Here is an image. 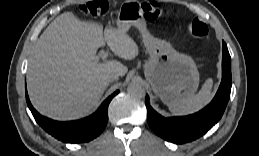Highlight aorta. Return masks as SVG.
<instances>
[{
  "label": "aorta",
  "instance_id": "1",
  "mask_svg": "<svg viewBox=\"0 0 259 156\" xmlns=\"http://www.w3.org/2000/svg\"><path fill=\"white\" fill-rule=\"evenodd\" d=\"M127 93L135 99H141L145 97V89L138 82H131L127 87Z\"/></svg>",
  "mask_w": 259,
  "mask_h": 156
}]
</instances>
